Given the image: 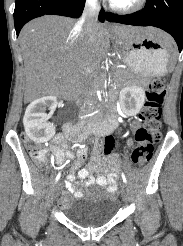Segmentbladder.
Returning <instances> with one entry per match:
<instances>
[{
  "label": "bladder",
  "instance_id": "obj_1",
  "mask_svg": "<svg viewBox=\"0 0 183 246\" xmlns=\"http://www.w3.org/2000/svg\"><path fill=\"white\" fill-rule=\"evenodd\" d=\"M119 208V201L101 187L77 199L71 200L63 207V213L74 224L92 228L111 221Z\"/></svg>",
  "mask_w": 183,
  "mask_h": 246
}]
</instances>
